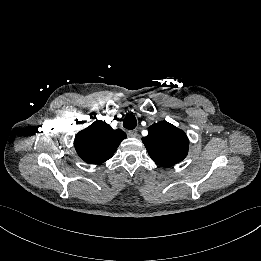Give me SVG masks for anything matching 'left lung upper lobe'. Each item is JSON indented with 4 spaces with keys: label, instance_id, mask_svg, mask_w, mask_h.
I'll list each match as a JSON object with an SVG mask.
<instances>
[{
    "label": "left lung upper lobe",
    "instance_id": "obj_1",
    "mask_svg": "<svg viewBox=\"0 0 261 261\" xmlns=\"http://www.w3.org/2000/svg\"><path fill=\"white\" fill-rule=\"evenodd\" d=\"M148 131L142 141L154 162L170 167L186 157L189 140L184 131L166 121L151 125Z\"/></svg>",
    "mask_w": 261,
    "mask_h": 261
}]
</instances>
